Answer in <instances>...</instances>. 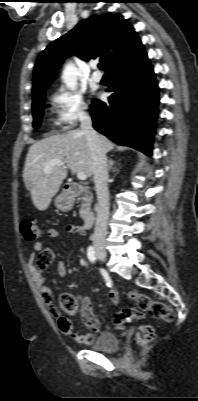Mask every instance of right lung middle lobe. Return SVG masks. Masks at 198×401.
<instances>
[{
	"label": "right lung middle lobe",
	"instance_id": "obj_1",
	"mask_svg": "<svg viewBox=\"0 0 198 401\" xmlns=\"http://www.w3.org/2000/svg\"><path fill=\"white\" fill-rule=\"evenodd\" d=\"M45 101V92H42L33 97L32 111H33V127L39 128L41 124V118L43 116V107Z\"/></svg>",
	"mask_w": 198,
	"mask_h": 401
}]
</instances>
